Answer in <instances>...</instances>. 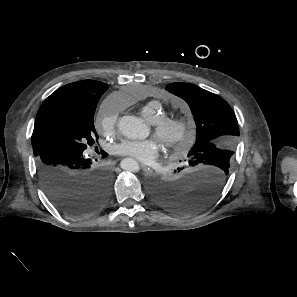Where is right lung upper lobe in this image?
Instances as JSON below:
<instances>
[{
    "label": "right lung upper lobe",
    "mask_w": 297,
    "mask_h": 297,
    "mask_svg": "<svg viewBox=\"0 0 297 297\" xmlns=\"http://www.w3.org/2000/svg\"><path fill=\"white\" fill-rule=\"evenodd\" d=\"M107 89L108 86L105 83L94 80L79 81L57 89L43 102L37 113L32 134V142L35 140L40 122L52 106L64 100H75L83 103H98L100 97ZM37 153V151L34 152V154Z\"/></svg>",
    "instance_id": "cb5924a9"
}]
</instances>
